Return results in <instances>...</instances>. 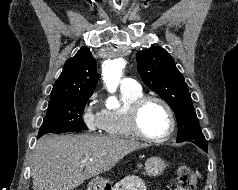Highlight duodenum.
Returning a JSON list of instances; mask_svg holds the SVG:
<instances>
[{
	"label": "duodenum",
	"instance_id": "duodenum-1",
	"mask_svg": "<svg viewBox=\"0 0 238 190\" xmlns=\"http://www.w3.org/2000/svg\"><path fill=\"white\" fill-rule=\"evenodd\" d=\"M93 189L94 190H102V187L99 184H93Z\"/></svg>",
	"mask_w": 238,
	"mask_h": 190
}]
</instances>
